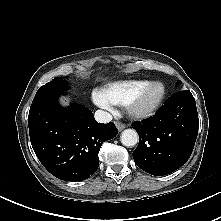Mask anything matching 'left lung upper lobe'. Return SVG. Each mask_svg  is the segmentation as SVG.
<instances>
[{
  "mask_svg": "<svg viewBox=\"0 0 221 221\" xmlns=\"http://www.w3.org/2000/svg\"><path fill=\"white\" fill-rule=\"evenodd\" d=\"M180 83H181V81H178V82H177V84H180Z\"/></svg>",
  "mask_w": 221,
  "mask_h": 221,
  "instance_id": "obj_1",
  "label": "left lung upper lobe"
}]
</instances>
